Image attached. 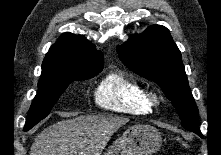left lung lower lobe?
<instances>
[{"instance_id":"left-lung-lower-lobe-1","label":"left lung lower lobe","mask_w":221,"mask_h":155,"mask_svg":"<svg viewBox=\"0 0 221 155\" xmlns=\"http://www.w3.org/2000/svg\"><path fill=\"white\" fill-rule=\"evenodd\" d=\"M196 134H198L200 137H203L200 131L196 132Z\"/></svg>"}]
</instances>
